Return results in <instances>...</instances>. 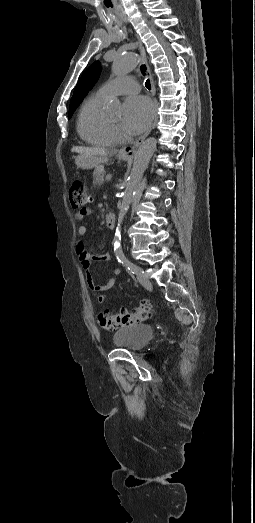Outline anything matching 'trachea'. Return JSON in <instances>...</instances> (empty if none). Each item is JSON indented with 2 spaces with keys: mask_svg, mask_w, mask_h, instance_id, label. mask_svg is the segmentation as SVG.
<instances>
[{
  "mask_svg": "<svg viewBox=\"0 0 255 523\" xmlns=\"http://www.w3.org/2000/svg\"><path fill=\"white\" fill-rule=\"evenodd\" d=\"M146 88H148V90H151V85H150V80H146Z\"/></svg>",
  "mask_w": 255,
  "mask_h": 523,
  "instance_id": "1",
  "label": "trachea"
}]
</instances>
